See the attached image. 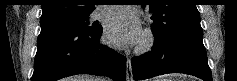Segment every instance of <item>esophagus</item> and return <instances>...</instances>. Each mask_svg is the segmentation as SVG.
<instances>
[{
    "instance_id": "esophagus-1",
    "label": "esophagus",
    "mask_w": 237,
    "mask_h": 81,
    "mask_svg": "<svg viewBox=\"0 0 237 81\" xmlns=\"http://www.w3.org/2000/svg\"><path fill=\"white\" fill-rule=\"evenodd\" d=\"M126 70H127V81H133L131 60L129 58H127L126 61Z\"/></svg>"
}]
</instances>
